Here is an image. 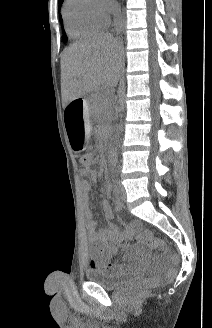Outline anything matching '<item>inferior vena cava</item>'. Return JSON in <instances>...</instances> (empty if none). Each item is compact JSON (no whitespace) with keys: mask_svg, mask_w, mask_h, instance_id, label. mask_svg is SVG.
<instances>
[{"mask_svg":"<svg viewBox=\"0 0 212 328\" xmlns=\"http://www.w3.org/2000/svg\"><path fill=\"white\" fill-rule=\"evenodd\" d=\"M112 12L115 18V28L118 31L119 30V26L121 24V13H120V9L117 5H113L112 7Z\"/></svg>","mask_w":212,"mask_h":328,"instance_id":"inferior-vena-cava-1","label":"inferior vena cava"}]
</instances>
